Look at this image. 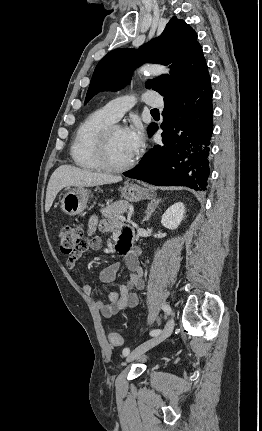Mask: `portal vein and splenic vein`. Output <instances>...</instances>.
I'll return each mask as SVG.
<instances>
[{
	"instance_id": "obj_1",
	"label": "portal vein and splenic vein",
	"mask_w": 262,
	"mask_h": 431,
	"mask_svg": "<svg viewBox=\"0 0 262 431\" xmlns=\"http://www.w3.org/2000/svg\"><path fill=\"white\" fill-rule=\"evenodd\" d=\"M119 219H120L121 221H123V222H124V221H126V218H125L124 216H120V217H119ZM127 221L129 222V221H130V218H128V219H127Z\"/></svg>"
}]
</instances>
